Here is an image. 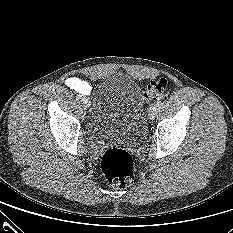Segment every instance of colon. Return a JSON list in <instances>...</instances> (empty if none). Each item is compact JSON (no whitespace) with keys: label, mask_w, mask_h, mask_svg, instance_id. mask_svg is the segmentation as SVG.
Listing matches in <instances>:
<instances>
[{"label":"colon","mask_w":233,"mask_h":233,"mask_svg":"<svg viewBox=\"0 0 233 233\" xmlns=\"http://www.w3.org/2000/svg\"><path fill=\"white\" fill-rule=\"evenodd\" d=\"M168 81L160 78L143 88L142 94L148 101L160 98ZM101 170L107 182L114 188L122 189L131 184L134 178L133 161L130 154L121 148H110L102 156Z\"/></svg>","instance_id":"obj_1"}]
</instances>
